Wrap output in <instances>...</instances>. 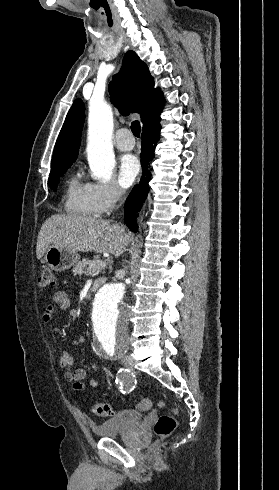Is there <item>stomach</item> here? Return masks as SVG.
Masks as SVG:
<instances>
[{
    "instance_id": "0dacf381",
    "label": "stomach",
    "mask_w": 279,
    "mask_h": 490,
    "mask_svg": "<svg viewBox=\"0 0 279 490\" xmlns=\"http://www.w3.org/2000/svg\"><path fill=\"white\" fill-rule=\"evenodd\" d=\"M44 260L54 272H64L69 270L71 266L77 264L79 260V254L66 250V248H56V246H50L48 248Z\"/></svg>"
}]
</instances>
